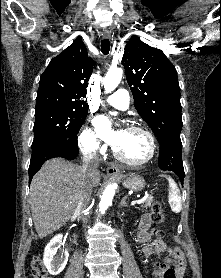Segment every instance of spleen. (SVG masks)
Returning <instances> with one entry per match:
<instances>
[{
  "label": "spleen",
  "instance_id": "1",
  "mask_svg": "<svg viewBox=\"0 0 221 278\" xmlns=\"http://www.w3.org/2000/svg\"><path fill=\"white\" fill-rule=\"evenodd\" d=\"M167 180L169 182V204L171 207V210L174 213H179L182 208V200L180 195V190L175 183V181L171 177H167Z\"/></svg>",
  "mask_w": 221,
  "mask_h": 278
}]
</instances>
